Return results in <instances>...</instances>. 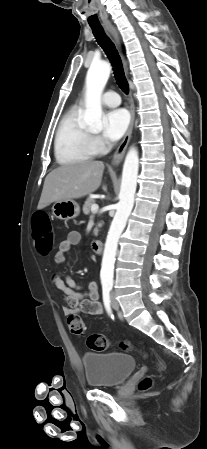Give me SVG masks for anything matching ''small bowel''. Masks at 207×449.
Instances as JSON below:
<instances>
[{"mask_svg": "<svg viewBox=\"0 0 207 449\" xmlns=\"http://www.w3.org/2000/svg\"><path fill=\"white\" fill-rule=\"evenodd\" d=\"M81 242V235L78 232H70L64 239L54 256L56 264H63L67 252ZM54 286L63 292V299L66 305L63 306V313L66 316L85 313L88 315H100L102 305L99 301L97 284L95 281H88L85 286L76 283L69 275L65 278L55 276L53 278ZM85 288V291H82Z\"/></svg>", "mask_w": 207, "mask_h": 449, "instance_id": "small-bowel-1", "label": "small bowel"}]
</instances>
